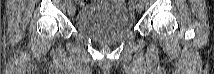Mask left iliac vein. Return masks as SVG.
Masks as SVG:
<instances>
[{
	"mask_svg": "<svg viewBox=\"0 0 214 74\" xmlns=\"http://www.w3.org/2000/svg\"><path fill=\"white\" fill-rule=\"evenodd\" d=\"M135 9L140 12L142 10V5L140 2H138L136 5H135Z\"/></svg>",
	"mask_w": 214,
	"mask_h": 74,
	"instance_id": "left-iliac-vein-1",
	"label": "left iliac vein"
}]
</instances>
